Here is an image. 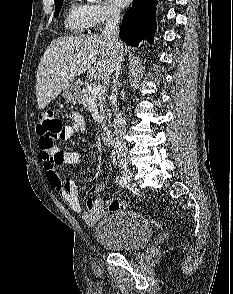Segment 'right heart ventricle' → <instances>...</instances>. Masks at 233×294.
I'll return each mask as SVG.
<instances>
[{
  "mask_svg": "<svg viewBox=\"0 0 233 294\" xmlns=\"http://www.w3.org/2000/svg\"><path fill=\"white\" fill-rule=\"evenodd\" d=\"M65 27L72 33L81 34L90 28V19L84 5L72 0L66 10Z\"/></svg>",
  "mask_w": 233,
  "mask_h": 294,
  "instance_id": "right-heart-ventricle-1",
  "label": "right heart ventricle"
}]
</instances>
